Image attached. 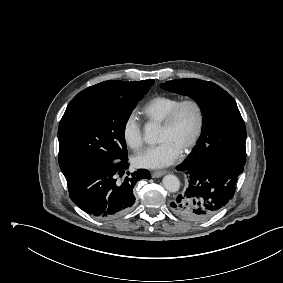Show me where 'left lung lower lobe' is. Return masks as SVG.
<instances>
[{"mask_svg":"<svg viewBox=\"0 0 283 283\" xmlns=\"http://www.w3.org/2000/svg\"><path fill=\"white\" fill-rule=\"evenodd\" d=\"M176 169L185 172L188 186L170 203L171 210L182 219L204 221L223 208L233 196L244 165L212 161L196 167L182 163Z\"/></svg>","mask_w":283,"mask_h":283,"instance_id":"1","label":"left lung lower lobe"}]
</instances>
